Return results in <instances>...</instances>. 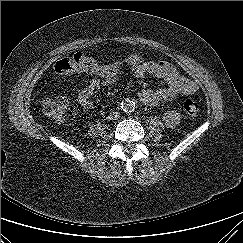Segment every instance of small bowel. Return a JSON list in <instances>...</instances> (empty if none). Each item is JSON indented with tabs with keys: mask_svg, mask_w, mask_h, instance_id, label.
Returning a JSON list of instances; mask_svg holds the SVG:
<instances>
[{
	"mask_svg": "<svg viewBox=\"0 0 243 243\" xmlns=\"http://www.w3.org/2000/svg\"><path fill=\"white\" fill-rule=\"evenodd\" d=\"M126 62L136 77L150 75L163 80L167 85L158 90L144 89L140 91L139 99L146 105L154 106L162 100L176 96H190L198 89L194 81L181 75L169 62L147 60L144 56L138 54L129 56ZM115 80V77L91 79L78 93V103L86 109H91L98 101L100 89ZM163 119L168 127L173 128L179 124L180 115L176 110L168 109L165 111Z\"/></svg>",
	"mask_w": 243,
	"mask_h": 243,
	"instance_id": "1",
	"label": "small bowel"
}]
</instances>
